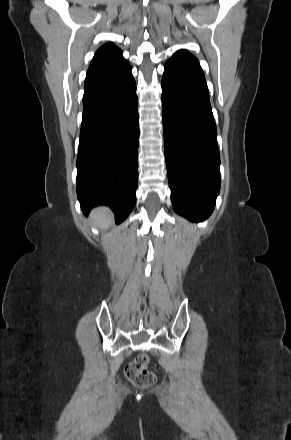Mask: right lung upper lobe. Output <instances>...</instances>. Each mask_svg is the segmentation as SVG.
<instances>
[{
    "label": "right lung upper lobe",
    "instance_id": "cb5924a9",
    "mask_svg": "<svg viewBox=\"0 0 291 440\" xmlns=\"http://www.w3.org/2000/svg\"><path fill=\"white\" fill-rule=\"evenodd\" d=\"M127 66L129 63L122 56V51L113 43H107L95 53L87 71V77L114 73Z\"/></svg>",
    "mask_w": 291,
    "mask_h": 440
}]
</instances>
